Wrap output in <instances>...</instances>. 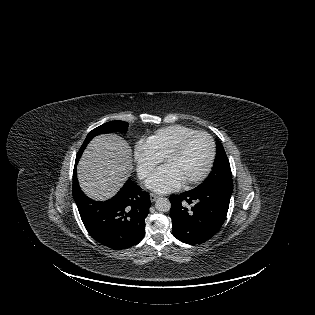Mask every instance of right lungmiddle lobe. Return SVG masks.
Returning a JSON list of instances; mask_svg holds the SVG:
<instances>
[{"label":"right lung middle lobe","mask_w":315,"mask_h":315,"mask_svg":"<svg viewBox=\"0 0 315 315\" xmlns=\"http://www.w3.org/2000/svg\"><path fill=\"white\" fill-rule=\"evenodd\" d=\"M128 130V123L123 122V121H110L107 122L95 129H93L89 134L87 135L86 139L84 140L76 158V162H78L80 156L82 155L84 149L86 148L87 144L90 142V140L103 133H111V132H127Z\"/></svg>","instance_id":"right-lung-middle-lobe-1"}]
</instances>
